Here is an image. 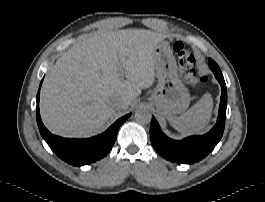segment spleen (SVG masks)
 <instances>
[{"instance_id": "obj_1", "label": "spleen", "mask_w": 265, "mask_h": 202, "mask_svg": "<svg viewBox=\"0 0 265 202\" xmlns=\"http://www.w3.org/2000/svg\"><path fill=\"white\" fill-rule=\"evenodd\" d=\"M213 107V100L210 94L203 97L194 104L187 112L169 118L170 124L181 134H201L208 124Z\"/></svg>"}]
</instances>
